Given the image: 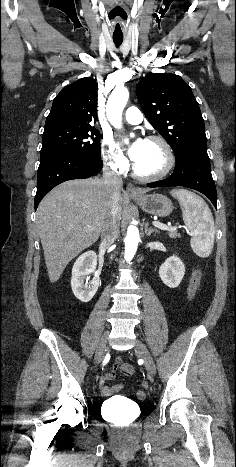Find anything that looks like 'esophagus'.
I'll return each instance as SVG.
<instances>
[{
    "mask_svg": "<svg viewBox=\"0 0 236 467\" xmlns=\"http://www.w3.org/2000/svg\"><path fill=\"white\" fill-rule=\"evenodd\" d=\"M126 191L129 195L140 196L142 195L141 191L136 188L132 183H128Z\"/></svg>",
    "mask_w": 236,
    "mask_h": 467,
    "instance_id": "34e87169",
    "label": "esophagus"
}]
</instances>
